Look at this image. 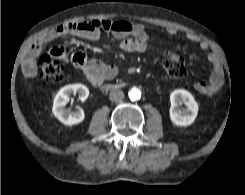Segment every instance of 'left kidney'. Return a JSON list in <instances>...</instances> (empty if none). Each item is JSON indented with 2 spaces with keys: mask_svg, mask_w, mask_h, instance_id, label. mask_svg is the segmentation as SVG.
Listing matches in <instances>:
<instances>
[{
  "mask_svg": "<svg viewBox=\"0 0 245 195\" xmlns=\"http://www.w3.org/2000/svg\"><path fill=\"white\" fill-rule=\"evenodd\" d=\"M170 103L169 113L173 124L186 127L195 121L199 106L190 92L184 89L174 90L170 94ZM181 104H185L186 109L181 110Z\"/></svg>",
  "mask_w": 245,
  "mask_h": 195,
  "instance_id": "1",
  "label": "left kidney"
}]
</instances>
